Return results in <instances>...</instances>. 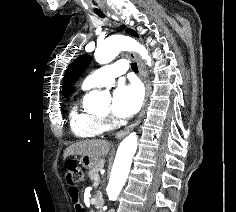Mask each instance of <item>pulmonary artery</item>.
Segmentation results:
<instances>
[{"mask_svg": "<svg viewBox=\"0 0 236 212\" xmlns=\"http://www.w3.org/2000/svg\"><path fill=\"white\" fill-rule=\"evenodd\" d=\"M127 70L128 65L123 60L114 64L103 66L89 74L84 79L82 86L87 89L101 86H111L115 82V78Z\"/></svg>", "mask_w": 236, "mask_h": 212, "instance_id": "pulmonary-artery-1", "label": "pulmonary artery"}]
</instances>
